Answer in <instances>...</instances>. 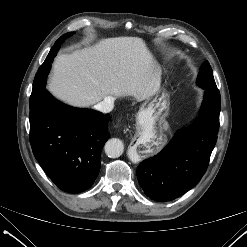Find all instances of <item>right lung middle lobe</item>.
I'll list each match as a JSON object with an SVG mask.
<instances>
[{
  "mask_svg": "<svg viewBox=\"0 0 247 247\" xmlns=\"http://www.w3.org/2000/svg\"><path fill=\"white\" fill-rule=\"evenodd\" d=\"M72 34L73 33H66L63 36H61L50 50L44 63L40 66L38 72L35 75V79L33 82V89L29 101L30 107H32L37 102V100L45 90L47 75L50 71L51 63L54 57L56 56L57 51L60 48V45L64 42L66 38L70 37Z\"/></svg>",
  "mask_w": 247,
  "mask_h": 247,
  "instance_id": "obj_1",
  "label": "right lung middle lobe"
}]
</instances>
